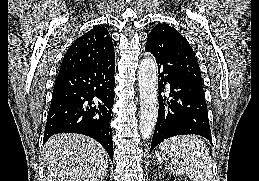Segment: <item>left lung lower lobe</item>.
<instances>
[{
	"label": "left lung lower lobe",
	"mask_w": 259,
	"mask_h": 181,
	"mask_svg": "<svg viewBox=\"0 0 259 181\" xmlns=\"http://www.w3.org/2000/svg\"><path fill=\"white\" fill-rule=\"evenodd\" d=\"M158 64L159 110L152 138V151L160 142L169 137L184 134L201 135L212 141L204 92L184 79L176 68L173 49L168 46L146 45ZM170 85L171 100L163 98L165 85Z\"/></svg>",
	"instance_id": "1"
}]
</instances>
